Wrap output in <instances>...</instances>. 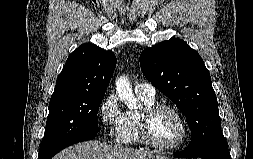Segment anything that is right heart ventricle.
<instances>
[{"label": "right heart ventricle", "mask_w": 253, "mask_h": 159, "mask_svg": "<svg viewBox=\"0 0 253 159\" xmlns=\"http://www.w3.org/2000/svg\"><path fill=\"white\" fill-rule=\"evenodd\" d=\"M144 107L155 103V97L138 95ZM139 116L140 112L127 111L121 130L120 143L124 145H138L141 143L139 135Z\"/></svg>", "instance_id": "obj_1"}]
</instances>
